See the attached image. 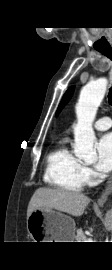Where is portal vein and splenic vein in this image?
<instances>
[{
	"label": "portal vein and splenic vein",
	"mask_w": 112,
	"mask_h": 270,
	"mask_svg": "<svg viewBox=\"0 0 112 270\" xmlns=\"http://www.w3.org/2000/svg\"><path fill=\"white\" fill-rule=\"evenodd\" d=\"M85 242H93L92 238H88Z\"/></svg>",
	"instance_id": "18ae733b"
}]
</instances>
